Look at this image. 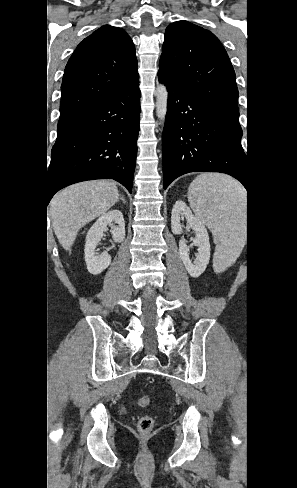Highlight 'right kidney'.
<instances>
[{
    "mask_svg": "<svg viewBox=\"0 0 297 488\" xmlns=\"http://www.w3.org/2000/svg\"><path fill=\"white\" fill-rule=\"evenodd\" d=\"M107 226L111 227L110 232L114 242L121 243L125 239V222L120 210H110L98 218L87 233L84 249L87 269L94 275L100 274L111 264V256L108 252L104 251L101 254L95 252Z\"/></svg>",
    "mask_w": 297,
    "mask_h": 488,
    "instance_id": "1",
    "label": "right kidney"
}]
</instances>
